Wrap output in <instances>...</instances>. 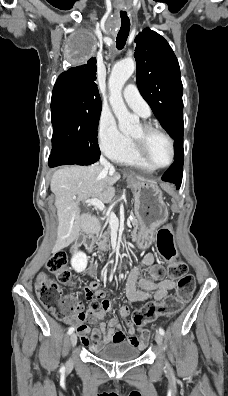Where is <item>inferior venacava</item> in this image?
I'll return each mask as SVG.
<instances>
[{"instance_id":"602c4592","label":"inferior vena cava","mask_w":228,"mask_h":396,"mask_svg":"<svg viewBox=\"0 0 228 396\" xmlns=\"http://www.w3.org/2000/svg\"><path fill=\"white\" fill-rule=\"evenodd\" d=\"M100 164L103 166V168L105 169V170H107V171H112V170H114V167H113V165L110 163V162H108L104 157H101L100 158Z\"/></svg>"}]
</instances>
